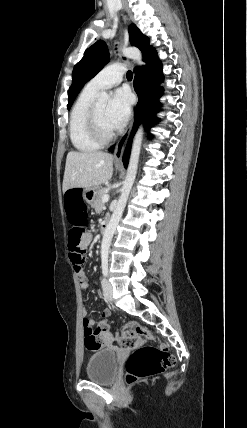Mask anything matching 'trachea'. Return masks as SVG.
<instances>
[{"mask_svg": "<svg viewBox=\"0 0 247 428\" xmlns=\"http://www.w3.org/2000/svg\"><path fill=\"white\" fill-rule=\"evenodd\" d=\"M132 77H133V74H132V72L129 70V71L127 72V79H132Z\"/></svg>", "mask_w": 247, "mask_h": 428, "instance_id": "trachea-1", "label": "trachea"}]
</instances>
